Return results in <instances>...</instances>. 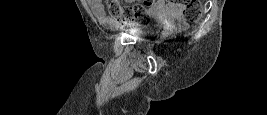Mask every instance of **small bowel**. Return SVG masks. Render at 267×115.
I'll return each instance as SVG.
<instances>
[{
  "label": "small bowel",
  "instance_id": "small-bowel-1",
  "mask_svg": "<svg viewBox=\"0 0 267 115\" xmlns=\"http://www.w3.org/2000/svg\"><path fill=\"white\" fill-rule=\"evenodd\" d=\"M88 4L98 18L106 19V12L101 0H88ZM168 10H176V7L168 5L164 0H156L151 6V12L157 15L163 14Z\"/></svg>",
  "mask_w": 267,
  "mask_h": 115
}]
</instances>
